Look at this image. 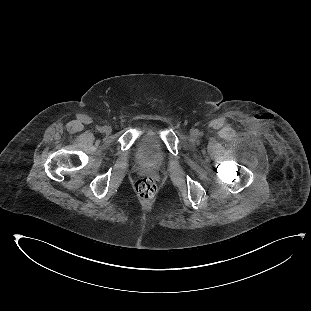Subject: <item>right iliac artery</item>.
Returning a JSON list of instances; mask_svg holds the SVG:
<instances>
[{
	"label": "right iliac artery",
	"mask_w": 311,
	"mask_h": 311,
	"mask_svg": "<svg viewBox=\"0 0 311 311\" xmlns=\"http://www.w3.org/2000/svg\"><path fill=\"white\" fill-rule=\"evenodd\" d=\"M99 130H100V132H105L106 131V127L103 126Z\"/></svg>",
	"instance_id": "obj_1"
}]
</instances>
